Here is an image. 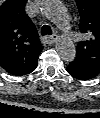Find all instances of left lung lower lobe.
Here are the masks:
<instances>
[{
	"label": "left lung lower lobe",
	"mask_w": 100,
	"mask_h": 118,
	"mask_svg": "<svg viewBox=\"0 0 100 118\" xmlns=\"http://www.w3.org/2000/svg\"><path fill=\"white\" fill-rule=\"evenodd\" d=\"M67 71L69 74L79 80H89L99 74L98 70L76 60L70 62V64L67 66Z\"/></svg>",
	"instance_id": "obj_1"
}]
</instances>
